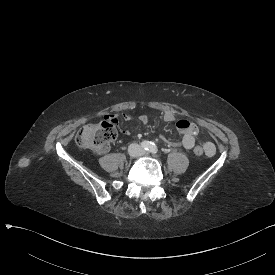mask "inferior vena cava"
Segmentation results:
<instances>
[{
  "instance_id": "1",
  "label": "inferior vena cava",
  "mask_w": 275,
  "mask_h": 275,
  "mask_svg": "<svg viewBox=\"0 0 275 275\" xmlns=\"http://www.w3.org/2000/svg\"><path fill=\"white\" fill-rule=\"evenodd\" d=\"M141 155H142V153H137V154H136V156H141Z\"/></svg>"
}]
</instances>
